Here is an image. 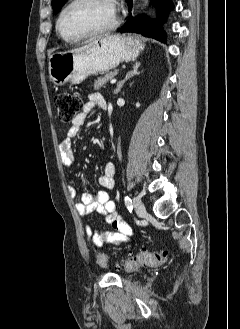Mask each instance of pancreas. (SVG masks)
<instances>
[{
  "mask_svg": "<svg viewBox=\"0 0 240 329\" xmlns=\"http://www.w3.org/2000/svg\"><path fill=\"white\" fill-rule=\"evenodd\" d=\"M118 74V71H113L105 74L103 77H98L94 81V89L100 90L102 87H105V85L108 83L109 80L114 78Z\"/></svg>",
  "mask_w": 240,
  "mask_h": 329,
  "instance_id": "cf45deb5",
  "label": "pancreas"
}]
</instances>
